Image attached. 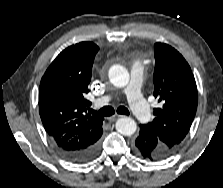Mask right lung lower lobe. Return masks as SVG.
<instances>
[{
  "mask_svg": "<svg viewBox=\"0 0 223 188\" xmlns=\"http://www.w3.org/2000/svg\"><path fill=\"white\" fill-rule=\"evenodd\" d=\"M102 135V134H101ZM100 135V136H101ZM99 137L94 139L89 144L78 149H67L55 146L57 151L66 159L75 163H85L92 160L99 151Z\"/></svg>",
  "mask_w": 223,
  "mask_h": 188,
  "instance_id": "right-lung-lower-lobe-1",
  "label": "right lung lower lobe"
}]
</instances>
